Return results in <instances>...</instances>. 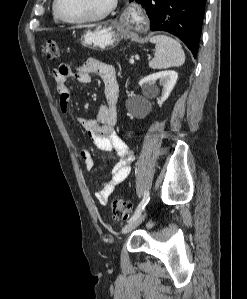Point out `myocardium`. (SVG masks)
<instances>
[{
    "instance_id": "f54148a6",
    "label": "myocardium",
    "mask_w": 247,
    "mask_h": 299,
    "mask_svg": "<svg viewBox=\"0 0 247 299\" xmlns=\"http://www.w3.org/2000/svg\"><path fill=\"white\" fill-rule=\"evenodd\" d=\"M117 0H110L108 5L98 14L84 17V18H78V19H68L64 17L60 11H59V0H54L53 3V11L55 16L58 20L67 23V24H84V23H91V22H97L104 18H106L116 7Z\"/></svg>"
}]
</instances>
